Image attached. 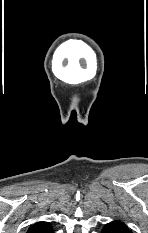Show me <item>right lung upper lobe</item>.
<instances>
[{"label": "right lung upper lobe", "mask_w": 148, "mask_h": 233, "mask_svg": "<svg viewBox=\"0 0 148 233\" xmlns=\"http://www.w3.org/2000/svg\"><path fill=\"white\" fill-rule=\"evenodd\" d=\"M27 233H53V229L50 223L37 222L29 227Z\"/></svg>", "instance_id": "1"}]
</instances>
